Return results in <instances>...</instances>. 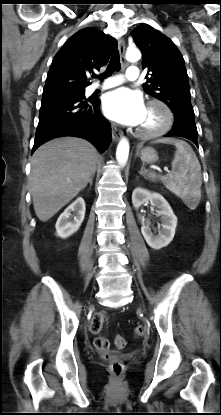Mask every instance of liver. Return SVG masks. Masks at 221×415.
Returning <instances> with one entry per match:
<instances>
[{
  "label": "liver",
  "instance_id": "6515ba94",
  "mask_svg": "<svg viewBox=\"0 0 221 415\" xmlns=\"http://www.w3.org/2000/svg\"><path fill=\"white\" fill-rule=\"evenodd\" d=\"M99 157L91 143L76 137L53 139L35 151L30 185L39 220L48 221L86 187Z\"/></svg>",
  "mask_w": 221,
  "mask_h": 415
}]
</instances>
